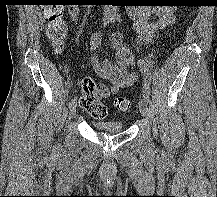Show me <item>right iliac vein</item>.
I'll return each instance as SVG.
<instances>
[{"instance_id":"obj_1","label":"right iliac vein","mask_w":217,"mask_h":197,"mask_svg":"<svg viewBox=\"0 0 217 197\" xmlns=\"http://www.w3.org/2000/svg\"><path fill=\"white\" fill-rule=\"evenodd\" d=\"M76 114V104H74L71 108H70V112H69V118H73Z\"/></svg>"}]
</instances>
